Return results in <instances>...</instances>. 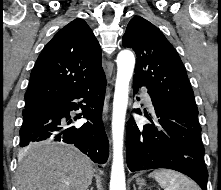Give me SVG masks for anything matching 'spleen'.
<instances>
[{
	"instance_id": "3e777b00",
	"label": "spleen",
	"mask_w": 221,
	"mask_h": 190,
	"mask_svg": "<svg viewBox=\"0 0 221 190\" xmlns=\"http://www.w3.org/2000/svg\"><path fill=\"white\" fill-rule=\"evenodd\" d=\"M164 190H201L185 175L170 169H157L149 174Z\"/></svg>"
}]
</instances>
